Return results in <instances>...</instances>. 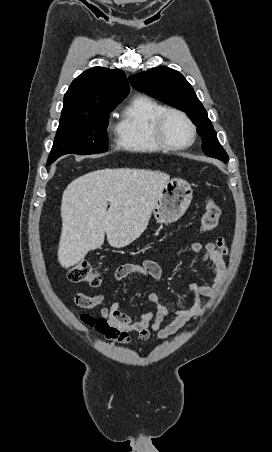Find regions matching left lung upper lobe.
<instances>
[{"instance_id": "5c2ea615", "label": "left lung upper lobe", "mask_w": 272, "mask_h": 452, "mask_svg": "<svg viewBox=\"0 0 272 452\" xmlns=\"http://www.w3.org/2000/svg\"><path fill=\"white\" fill-rule=\"evenodd\" d=\"M129 81L136 90L186 112L197 126L198 134L202 137L203 152L209 157L224 162L228 161L229 157L217 139V134L205 108L182 74L161 66L132 75L129 77Z\"/></svg>"}]
</instances>
